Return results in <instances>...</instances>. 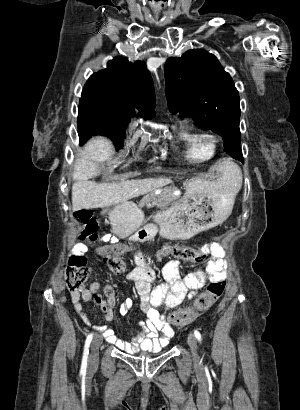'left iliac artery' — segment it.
<instances>
[{
	"label": "left iliac artery",
	"instance_id": "1",
	"mask_svg": "<svg viewBox=\"0 0 300 410\" xmlns=\"http://www.w3.org/2000/svg\"><path fill=\"white\" fill-rule=\"evenodd\" d=\"M194 335H195V337L198 339V341L201 342L202 337H201V334H200V332H199L198 330H195V331H194Z\"/></svg>",
	"mask_w": 300,
	"mask_h": 410
}]
</instances>
